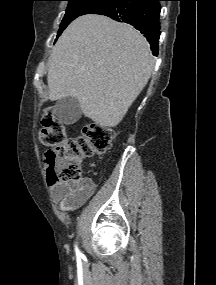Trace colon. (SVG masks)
<instances>
[{
	"instance_id": "colon-1",
	"label": "colon",
	"mask_w": 216,
	"mask_h": 285,
	"mask_svg": "<svg viewBox=\"0 0 216 285\" xmlns=\"http://www.w3.org/2000/svg\"><path fill=\"white\" fill-rule=\"evenodd\" d=\"M41 142L50 147L45 164L50 184L76 183L82 176L80 160L106 153L115 132L97 124L86 125L78 137H67L65 127L52 109L46 110L39 131Z\"/></svg>"
}]
</instances>
